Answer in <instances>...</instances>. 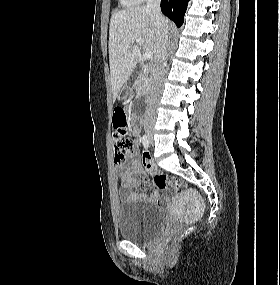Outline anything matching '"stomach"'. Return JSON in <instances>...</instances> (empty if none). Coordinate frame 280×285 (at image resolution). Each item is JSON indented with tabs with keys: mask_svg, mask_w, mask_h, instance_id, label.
<instances>
[{
	"mask_svg": "<svg viewBox=\"0 0 280 285\" xmlns=\"http://www.w3.org/2000/svg\"><path fill=\"white\" fill-rule=\"evenodd\" d=\"M132 88H133L132 86L125 84V85L123 86V88L121 89L120 95H126V94L130 93V91L132 90Z\"/></svg>",
	"mask_w": 280,
	"mask_h": 285,
	"instance_id": "stomach-1",
	"label": "stomach"
}]
</instances>
